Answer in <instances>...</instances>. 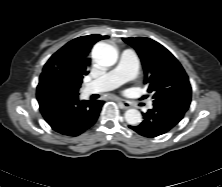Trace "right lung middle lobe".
<instances>
[{
  "mask_svg": "<svg viewBox=\"0 0 222 187\" xmlns=\"http://www.w3.org/2000/svg\"><path fill=\"white\" fill-rule=\"evenodd\" d=\"M57 75L62 79L64 84L74 92H78L81 87L82 79L76 76L71 75L70 73H60Z\"/></svg>",
  "mask_w": 222,
  "mask_h": 187,
  "instance_id": "1",
  "label": "right lung middle lobe"
}]
</instances>
